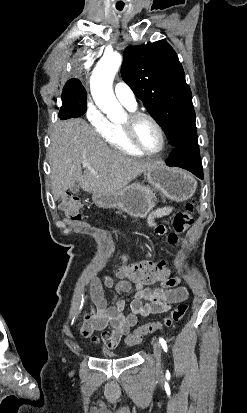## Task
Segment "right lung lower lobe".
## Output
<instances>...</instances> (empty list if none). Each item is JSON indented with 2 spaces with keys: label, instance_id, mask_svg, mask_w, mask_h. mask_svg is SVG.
<instances>
[{
  "label": "right lung lower lobe",
  "instance_id": "1",
  "mask_svg": "<svg viewBox=\"0 0 247 413\" xmlns=\"http://www.w3.org/2000/svg\"><path fill=\"white\" fill-rule=\"evenodd\" d=\"M74 117H78V114L76 113V111L65 105H62L59 111V118L61 120H66V119H70Z\"/></svg>",
  "mask_w": 247,
  "mask_h": 413
}]
</instances>
